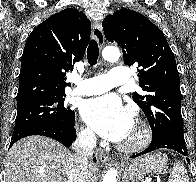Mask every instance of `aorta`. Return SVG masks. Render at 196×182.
<instances>
[{
    "label": "aorta",
    "instance_id": "aorta-1",
    "mask_svg": "<svg viewBox=\"0 0 196 182\" xmlns=\"http://www.w3.org/2000/svg\"><path fill=\"white\" fill-rule=\"evenodd\" d=\"M102 57L104 60L109 62L117 61L120 57V51L116 47H106L102 51ZM103 182H117V171L114 168H110L104 178Z\"/></svg>",
    "mask_w": 196,
    "mask_h": 182
}]
</instances>
